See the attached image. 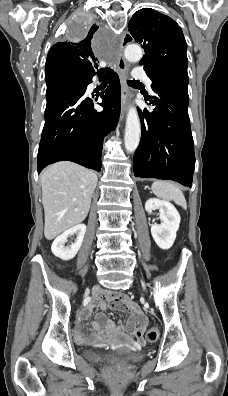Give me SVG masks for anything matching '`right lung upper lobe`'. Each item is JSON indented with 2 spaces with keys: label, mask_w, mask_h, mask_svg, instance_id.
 <instances>
[{
  "label": "right lung upper lobe",
  "mask_w": 228,
  "mask_h": 396,
  "mask_svg": "<svg viewBox=\"0 0 228 396\" xmlns=\"http://www.w3.org/2000/svg\"><path fill=\"white\" fill-rule=\"evenodd\" d=\"M98 29L94 26L88 35L81 41L58 42L52 46L45 64V74L52 72L70 71L76 75H95L94 69L98 68L97 58L92 51V38ZM110 68H103L97 71L98 74L110 71Z\"/></svg>",
  "instance_id": "1"
}]
</instances>
